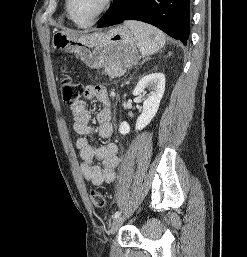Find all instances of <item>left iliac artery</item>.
I'll return each mask as SVG.
<instances>
[{
	"instance_id": "left-iliac-artery-1",
	"label": "left iliac artery",
	"mask_w": 247,
	"mask_h": 257,
	"mask_svg": "<svg viewBox=\"0 0 247 257\" xmlns=\"http://www.w3.org/2000/svg\"><path fill=\"white\" fill-rule=\"evenodd\" d=\"M120 215H121V212L118 211V212H116V213L112 216V218L115 219V218L119 217Z\"/></svg>"
}]
</instances>
